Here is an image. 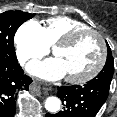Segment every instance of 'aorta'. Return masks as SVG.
Segmentation results:
<instances>
[{
  "instance_id": "obj_1",
  "label": "aorta",
  "mask_w": 117,
  "mask_h": 117,
  "mask_svg": "<svg viewBox=\"0 0 117 117\" xmlns=\"http://www.w3.org/2000/svg\"><path fill=\"white\" fill-rule=\"evenodd\" d=\"M61 101L58 97L51 96L45 101V108L51 113H56L60 110Z\"/></svg>"
}]
</instances>
